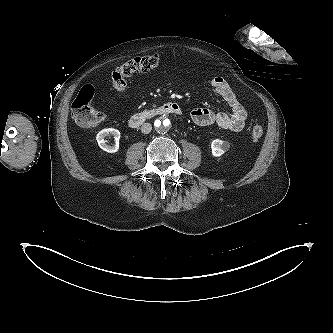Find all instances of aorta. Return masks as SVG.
Listing matches in <instances>:
<instances>
[{"label": "aorta", "instance_id": "1", "mask_svg": "<svg viewBox=\"0 0 333 333\" xmlns=\"http://www.w3.org/2000/svg\"><path fill=\"white\" fill-rule=\"evenodd\" d=\"M170 121L166 117L155 121V130L158 133H166L170 129Z\"/></svg>", "mask_w": 333, "mask_h": 333}]
</instances>
